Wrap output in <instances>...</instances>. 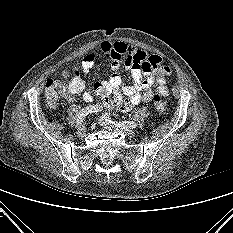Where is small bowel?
<instances>
[{
  "instance_id": "obj_1",
  "label": "small bowel",
  "mask_w": 233,
  "mask_h": 233,
  "mask_svg": "<svg viewBox=\"0 0 233 233\" xmlns=\"http://www.w3.org/2000/svg\"><path fill=\"white\" fill-rule=\"evenodd\" d=\"M99 48L103 59L110 61L113 70L111 77L101 83L113 97L120 111L127 112L140 103L149 102L154 95L151 89L153 85L159 93L167 95L166 76L170 75L171 70L162 65L161 57L149 55L145 51L119 41H104ZM100 62L101 58L96 53L90 52L83 58L81 70L87 74ZM121 65L130 70L133 79L132 86L122 85V76L119 72ZM74 74L75 77L68 85L67 97L71 99L73 95L82 93V100L91 102L93 93L85 90V83L79 77L78 68L74 69Z\"/></svg>"
}]
</instances>
